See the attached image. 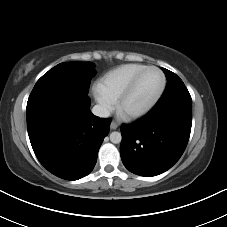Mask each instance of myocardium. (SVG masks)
I'll return each mask as SVG.
<instances>
[{"instance_id": "1", "label": "myocardium", "mask_w": 227, "mask_h": 227, "mask_svg": "<svg viewBox=\"0 0 227 227\" xmlns=\"http://www.w3.org/2000/svg\"><path fill=\"white\" fill-rule=\"evenodd\" d=\"M157 70L161 76H162V85L158 93L145 105L142 107L135 109V110H128L126 109V102L130 98V96L135 91L140 79L142 76L148 71V70ZM167 85V78L163 70L157 66H146L144 69H142L130 82V84L127 86V88L124 90V92L121 94V96L118 99V109L122 114L129 119H137L144 115H146L160 100L162 95L165 92Z\"/></svg>"}]
</instances>
